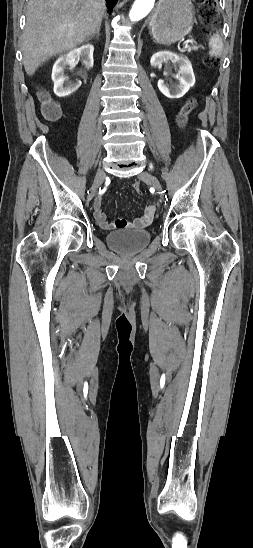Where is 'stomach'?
I'll use <instances>...</instances> for the list:
<instances>
[{"mask_svg":"<svg viewBox=\"0 0 253 548\" xmlns=\"http://www.w3.org/2000/svg\"><path fill=\"white\" fill-rule=\"evenodd\" d=\"M193 23L194 7L190 0H160L149 30L157 43L170 45L187 35Z\"/></svg>","mask_w":253,"mask_h":548,"instance_id":"obj_1","label":"stomach"}]
</instances>
